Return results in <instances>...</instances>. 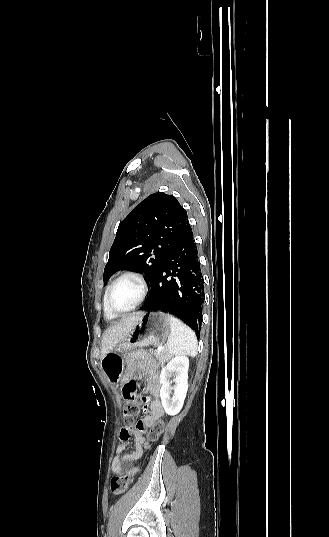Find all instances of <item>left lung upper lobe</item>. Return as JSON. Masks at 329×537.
<instances>
[{"label":"left lung upper lobe","mask_w":329,"mask_h":537,"mask_svg":"<svg viewBox=\"0 0 329 537\" xmlns=\"http://www.w3.org/2000/svg\"><path fill=\"white\" fill-rule=\"evenodd\" d=\"M189 230L187 212L173 195L151 194L119 224L104 284L124 268L143 272L151 284L162 261Z\"/></svg>","instance_id":"obj_1"}]
</instances>
